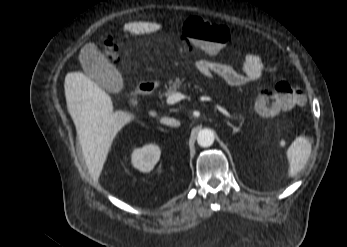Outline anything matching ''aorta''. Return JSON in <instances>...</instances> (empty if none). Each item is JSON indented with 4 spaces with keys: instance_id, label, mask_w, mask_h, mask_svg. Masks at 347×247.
Here are the masks:
<instances>
[{
    "instance_id": "762f6f07",
    "label": "aorta",
    "mask_w": 347,
    "mask_h": 247,
    "mask_svg": "<svg viewBox=\"0 0 347 247\" xmlns=\"http://www.w3.org/2000/svg\"><path fill=\"white\" fill-rule=\"evenodd\" d=\"M214 133L210 129H203L199 132L197 142L201 147H210L214 142Z\"/></svg>"
}]
</instances>
